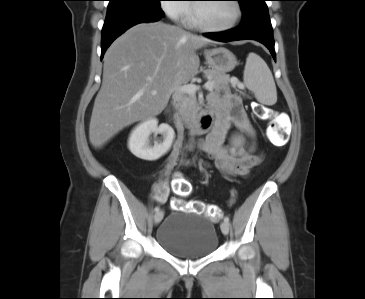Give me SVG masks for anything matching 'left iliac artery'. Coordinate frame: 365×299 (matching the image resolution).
Instances as JSON below:
<instances>
[{
	"mask_svg": "<svg viewBox=\"0 0 365 299\" xmlns=\"http://www.w3.org/2000/svg\"><path fill=\"white\" fill-rule=\"evenodd\" d=\"M224 221L229 223V218L228 217H224Z\"/></svg>",
	"mask_w": 365,
	"mask_h": 299,
	"instance_id": "left-iliac-artery-1",
	"label": "left iliac artery"
}]
</instances>
